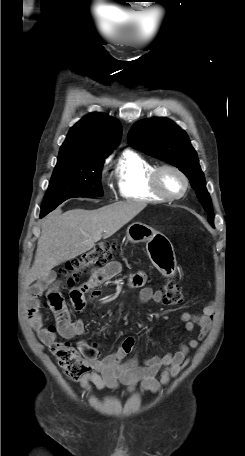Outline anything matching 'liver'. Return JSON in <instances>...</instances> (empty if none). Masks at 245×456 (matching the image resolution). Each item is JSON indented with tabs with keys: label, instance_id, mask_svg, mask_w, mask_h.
<instances>
[{
	"label": "liver",
	"instance_id": "obj_1",
	"mask_svg": "<svg viewBox=\"0 0 245 456\" xmlns=\"http://www.w3.org/2000/svg\"><path fill=\"white\" fill-rule=\"evenodd\" d=\"M145 202L125 201L95 210L60 209L42 220L34 263L26 277L28 287L48 277L57 265L86 253L102 237L108 238L130 222L145 207Z\"/></svg>",
	"mask_w": 245,
	"mask_h": 456
}]
</instances>
